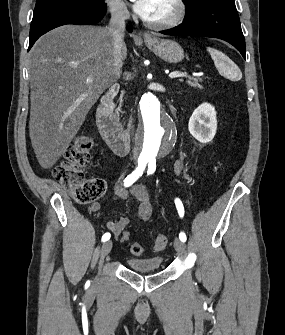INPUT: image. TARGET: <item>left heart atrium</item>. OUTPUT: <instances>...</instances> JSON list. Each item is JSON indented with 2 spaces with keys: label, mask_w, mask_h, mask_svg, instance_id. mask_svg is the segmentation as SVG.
I'll use <instances>...</instances> for the list:
<instances>
[{
  "label": "left heart atrium",
  "mask_w": 285,
  "mask_h": 335,
  "mask_svg": "<svg viewBox=\"0 0 285 335\" xmlns=\"http://www.w3.org/2000/svg\"><path fill=\"white\" fill-rule=\"evenodd\" d=\"M133 8L141 20L150 23L154 10V1H132Z\"/></svg>",
  "instance_id": "39dd6f15"
}]
</instances>
